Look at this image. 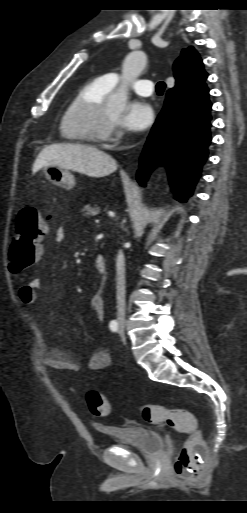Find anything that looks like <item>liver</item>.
<instances>
[{
	"instance_id": "1",
	"label": "liver",
	"mask_w": 247,
	"mask_h": 513,
	"mask_svg": "<svg viewBox=\"0 0 247 513\" xmlns=\"http://www.w3.org/2000/svg\"><path fill=\"white\" fill-rule=\"evenodd\" d=\"M59 166L74 170L89 177L101 178L117 169L111 156L82 144H52L46 146L37 156L32 172L35 174L42 167Z\"/></svg>"
}]
</instances>
